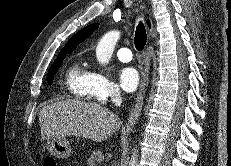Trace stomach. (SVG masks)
<instances>
[{
    "mask_svg": "<svg viewBox=\"0 0 231 166\" xmlns=\"http://www.w3.org/2000/svg\"><path fill=\"white\" fill-rule=\"evenodd\" d=\"M47 149L56 158L64 159L71 155V146L66 138H51L47 141Z\"/></svg>",
    "mask_w": 231,
    "mask_h": 166,
    "instance_id": "stomach-1",
    "label": "stomach"
}]
</instances>
